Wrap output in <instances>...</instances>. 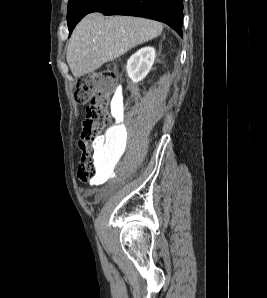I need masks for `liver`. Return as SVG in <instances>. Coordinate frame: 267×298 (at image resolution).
Returning a JSON list of instances; mask_svg holds the SVG:
<instances>
[{"label": "liver", "mask_w": 267, "mask_h": 298, "mask_svg": "<svg viewBox=\"0 0 267 298\" xmlns=\"http://www.w3.org/2000/svg\"><path fill=\"white\" fill-rule=\"evenodd\" d=\"M163 25L157 21L129 17L85 16L75 27L67 50V62L74 77L94 72L131 48L156 38Z\"/></svg>", "instance_id": "1"}]
</instances>
